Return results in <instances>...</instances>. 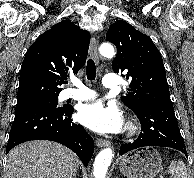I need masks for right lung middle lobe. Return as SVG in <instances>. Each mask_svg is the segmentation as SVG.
<instances>
[{
    "instance_id": "right-lung-middle-lobe-1",
    "label": "right lung middle lobe",
    "mask_w": 194,
    "mask_h": 178,
    "mask_svg": "<svg viewBox=\"0 0 194 178\" xmlns=\"http://www.w3.org/2000/svg\"><path fill=\"white\" fill-rule=\"evenodd\" d=\"M25 104H46V105L56 107L58 104V97L29 101V102L17 104L16 106L25 105Z\"/></svg>"
}]
</instances>
